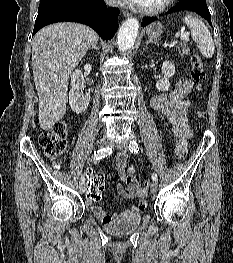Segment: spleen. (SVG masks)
Returning a JSON list of instances; mask_svg holds the SVG:
<instances>
[{"label": "spleen", "mask_w": 233, "mask_h": 263, "mask_svg": "<svg viewBox=\"0 0 233 263\" xmlns=\"http://www.w3.org/2000/svg\"><path fill=\"white\" fill-rule=\"evenodd\" d=\"M183 21L190 28L193 40L198 43L201 55L211 58L214 55L215 45L206 25L190 14L183 17Z\"/></svg>", "instance_id": "3e777b00"}]
</instances>
